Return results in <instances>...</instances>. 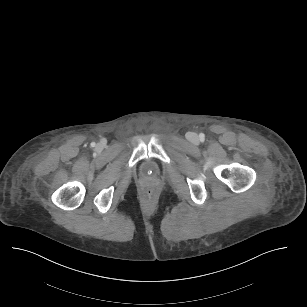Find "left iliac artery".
<instances>
[{"mask_svg":"<svg viewBox=\"0 0 307 307\" xmlns=\"http://www.w3.org/2000/svg\"><path fill=\"white\" fill-rule=\"evenodd\" d=\"M204 139H205V138H204V135H203V134H200V140H201V141H204Z\"/></svg>","mask_w":307,"mask_h":307,"instance_id":"44dca946","label":"left iliac artery"}]
</instances>
